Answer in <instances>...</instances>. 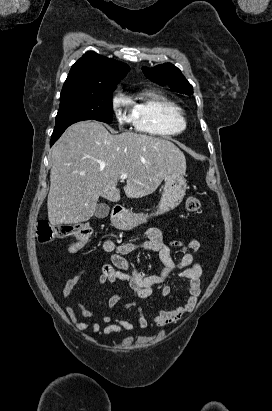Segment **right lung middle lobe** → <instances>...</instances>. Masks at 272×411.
Returning a JSON list of instances; mask_svg holds the SVG:
<instances>
[{
    "label": "right lung middle lobe",
    "instance_id": "1",
    "mask_svg": "<svg viewBox=\"0 0 272 411\" xmlns=\"http://www.w3.org/2000/svg\"><path fill=\"white\" fill-rule=\"evenodd\" d=\"M116 84L84 91L61 92L52 138H57L73 123L83 120L112 121V92Z\"/></svg>",
    "mask_w": 272,
    "mask_h": 411
}]
</instances>
